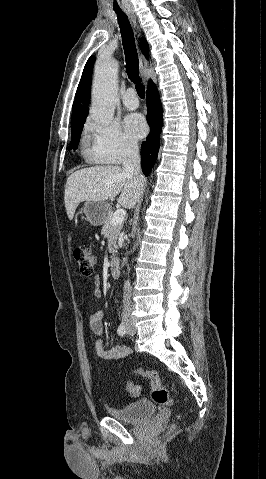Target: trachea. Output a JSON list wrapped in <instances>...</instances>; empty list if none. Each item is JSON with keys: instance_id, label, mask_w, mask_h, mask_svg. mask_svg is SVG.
Wrapping results in <instances>:
<instances>
[{"instance_id": "1", "label": "trachea", "mask_w": 266, "mask_h": 479, "mask_svg": "<svg viewBox=\"0 0 266 479\" xmlns=\"http://www.w3.org/2000/svg\"><path fill=\"white\" fill-rule=\"evenodd\" d=\"M114 11L117 14L118 24L121 30L128 78L135 84V88L139 97L144 99L145 87L141 83V78L139 76L138 53L133 30L128 17L122 12V10L114 8Z\"/></svg>"}]
</instances>
